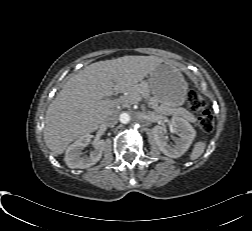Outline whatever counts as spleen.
Returning a JSON list of instances; mask_svg holds the SVG:
<instances>
[{"label": "spleen", "instance_id": "3e777b00", "mask_svg": "<svg viewBox=\"0 0 252 231\" xmlns=\"http://www.w3.org/2000/svg\"><path fill=\"white\" fill-rule=\"evenodd\" d=\"M205 148H206V142H197L194 145V148L190 154V159L196 160L197 158H199L203 154Z\"/></svg>", "mask_w": 252, "mask_h": 231}]
</instances>
